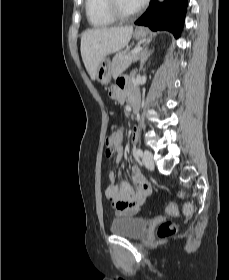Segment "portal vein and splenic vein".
Here are the masks:
<instances>
[{"label":"portal vein and splenic vein","instance_id":"portal-vein-and-splenic-vein-1","mask_svg":"<svg viewBox=\"0 0 229 280\" xmlns=\"http://www.w3.org/2000/svg\"><path fill=\"white\" fill-rule=\"evenodd\" d=\"M142 50H143L142 47H136L131 51V54L140 53Z\"/></svg>","mask_w":229,"mask_h":280}]
</instances>
